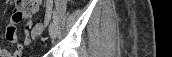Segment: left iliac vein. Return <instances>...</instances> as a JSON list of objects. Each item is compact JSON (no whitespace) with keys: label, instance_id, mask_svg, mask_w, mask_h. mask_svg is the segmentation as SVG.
<instances>
[{"label":"left iliac vein","instance_id":"obj_1","mask_svg":"<svg viewBox=\"0 0 172 57\" xmlns=\"http://www.w3.org/2000/svg\"><path fill=\"white\" fill-rule=\"evenodd\" d=\"M49 34L52 38L56 37V35H57V24H55V23L50 24Z\"/></svg>","mask_w":172,"mask_h":57}]
</instances>
